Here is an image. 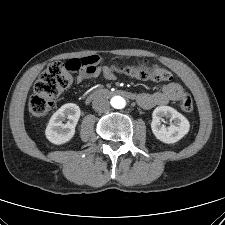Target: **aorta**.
Wrapping results in <instances>:
<instances>
[{
	"mask_svg": "<svg viewBox=\"0 0 225 225\" xmlns=\"http://www.w3.org/2000/svg\"><path fill=\"white\" fill-rule=\"evenodd\" d=\"M111 105L116 109H122L126 106V101L121 96H114L111 99Z\"/></svg>",
	"mask_w": 225,
	"mask_h": 225,
	"instance_id": "1",
	"label": "aorta"
}]
</instances>
